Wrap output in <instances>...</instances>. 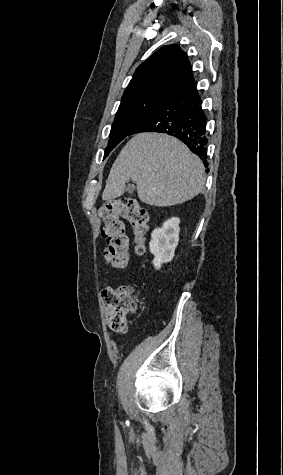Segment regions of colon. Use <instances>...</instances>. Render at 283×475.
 I'll return each instance as SVG.
<instances>
[{"mask_svg":"<svg viewBox=\"0 0 283 475\" xmlns=\"http://www.w3.org/2000/svg\"><path fill=\"white\" fill-rule=\"evenodd\" d=\"M104 223L103 233L107 239L104 260L114 271L124 270L129 263L128 241L123 219L132 228L136 251L143 254L148 241V213L134 198H125L105 203L99 212ZM136 288L131 285H115L99 293L105 299L106 322L114 332H127L129 319L136 311L134 302Z\"/></svg>","mask_w":283,"mask_h":475,"instance_id":"1","label":"colon"}]
</instances>
